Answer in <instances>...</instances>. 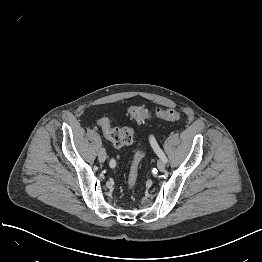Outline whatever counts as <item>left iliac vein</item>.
Listing matches in <instances>:
<instances>
[{"mask_svg": "<svg viewBox=\"0 0 262 262\" xmlns=\"http://www.w3.org/2000/svg\"><path fill=\"white\" fill-rule=\"evenodd\" d=\"M165 166H166L165 160L159 159L158 162H157V167H158L159 171H164Z\"/></svg>", "mask_w": 262, "mask_h": 262, "instance_id": "1", "label": "left iliac vein"}]
</instances>
